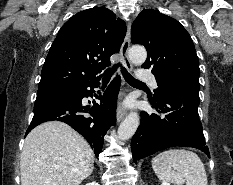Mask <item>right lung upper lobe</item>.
Wrapping results in <instances>:
<instances>
[{
  "label": "right lung upper lobe",
  "instance_id": "right-lung-upper-lobe-1",
  "mask_svg": "<svg viewBox=\"0 0 233 185\" xmlns=\"http://www.w3.org/2000/svg\"><path fill=\"white\" fill-rule=\"evenodd\" d=\"M126 24L109 9L95 7L72 16L59 30L45 60L38 90L100 80L119 52Z\"/></svg>",
  "mask_w": 233,
  "mask_h": 185
}]
</instances>
